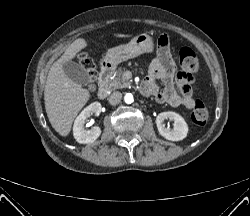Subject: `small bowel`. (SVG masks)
I'll return each mask as SVG.
<instances>
[{
	"mask_svg": "<svg viewBox=\"0 0 250 216\" xmlns=\"http://www.w3.org/2000/svg\"><path fill=\"white\" fill-rule=\"evenodd\" d=\"M167 39L160 38V43L165 45ZM164 85L163 90H159V84ZM193 78L176 72L168 51L163 46L157 57L152 61L149 74L143 81L141 90L146 95H154L160 104H168L172 107H183L192 109L195 106L193 99Z\"/></svg>",
	"mask_w": 250,
	"mask_h": 216,
	"instance_id": "1",
	"label": "small bowel"
}]
</instances>
